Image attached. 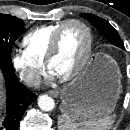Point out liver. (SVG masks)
Masks as SVG:
<instances>
[{"mask_svg": "<svg viewBox=\"0 0 130 130\" xmlns=\"http://www.w3.org/2000/svg\"><path fill=\"white\" fill-rule=\"evenodd\" d=\"M4 100V85H3V76L0 71V111L2 110Z\"/></svg>", "mask_w": 130, "mask_h": 130, "instance_id": "liver-1", "label": "liver"}]
</instances>
